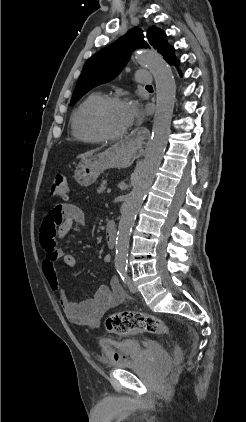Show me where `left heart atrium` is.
<instances>
[{
  "instance_id": "left-heart-atrium-1",
  "label": "left heart atrium",
  "mask_w": 246,
  "mask_h": 422,
  "mask_svg": "<svg viewBox=\"0 0 246 422\" xmlns=\"http://www.w3.org/2000/svg\"><path fill=\"white\" fill-rule=\"evenodd\" d=\"M128 124L131 125L139 116V108L135 102H129L125 105Z\"/></svg>"
}]
</instances>
